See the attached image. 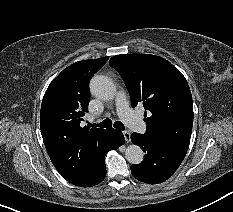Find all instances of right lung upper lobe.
Segmentation results:
<instances>
[{"mask_svg": "<svg viewBox=\"0 0 233 212\" xmlns=\"http://www.w3.org/2000/svg\"><path fill=\"white\" fill-rule=\"evenodd\" d=\"M109 57L76 62L65 68L43 97L40 129L57 171L72 181L89 170L108 129L82 128L90 100L89 81Z\"/></svg>", "mask_w": 233, "mask_h": 212, "instance_id": "obj_1", "label": "right lung upper lobe"}]
</instances>
